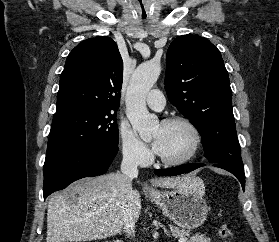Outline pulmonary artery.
Listing matches in <instances>:
<instances>
[{"instance_id": "obj_1", "label": "pulmonary artery", "mask_w": 279, "mask_h": 242, "mask_svg": "<svg viewBox=\"0 0 279 242\" xmlns=\"http://www.w3.org/2000/svg\"><path fill=\"white\" fill-rule=\"evenodd\" d=\"M146 101L148 106L155 110H161L165 106L164 95L158 89L151 90L146 98Z\"/></svg>"}]
</instances>
